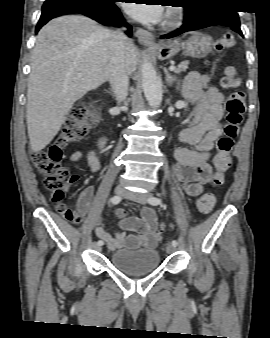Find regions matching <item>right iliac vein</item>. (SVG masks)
Returning a JSON list of instances; mask_svg holds the SVG:
<instances>
[{"instance_id":"obj_1","label":"right iliac vein","mask_w":270,"mask_h":338,"mask_svg":"<svg viewBox=\"0 0 270 338\" xmlns=\"http://www.w3.org/2000/svg\"><path fill=\"white\" fill-rule=\"evenodd\" d=\"M124 192H125V189H124V187L121 186V185L115 187V189H114V193H115L116 195H118V196L123 195ZM93 248L96 249V250H98V251L101 250V247H100L99 245H97V244H94V245H93Z\"/></svg>"}]
</instances>
